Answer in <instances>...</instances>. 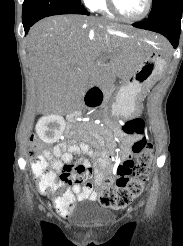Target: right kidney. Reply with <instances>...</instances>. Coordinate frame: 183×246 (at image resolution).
I'll list each match as a JSON object with an SVG mask.
<instances>
[{
    "instance_id": "obj_1",
    "label": "right kidney",
    "mask_w": 183,
    "mask_h": 246,
    "mask_svg": "<svg viewBox=\"0 0 183 246\" xmlns=\"http://www.w3.org/2000/svg\"><path fill=\"white\" fill-rule=\"evenodd\" d=\"M65 129V121L59 115H48L39 119L36 132L45 143H54L62 135Z\"/></svg>"
}]
</instances>
